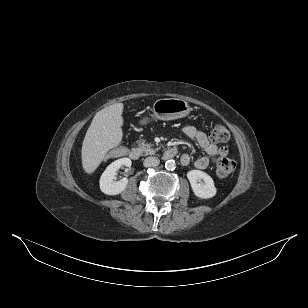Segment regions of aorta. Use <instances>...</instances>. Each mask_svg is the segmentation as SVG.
Instances as JSON below:
<instances>
[{"label":"aorta","instance_id":"1","mask_svg":"<svg viewBox=\"0 0 308 308\" xmlns=\"http://www.w3.org/2000/svg\"><path fill=\"white\" fill-rule=\"evenodd\" d=\"M165 168H166L167 170L173 171V170L176 168L175 161H174V160H167V161L165 162Z\"/></svg>","mask_w":308,"mask_h":308}]
</instances>
